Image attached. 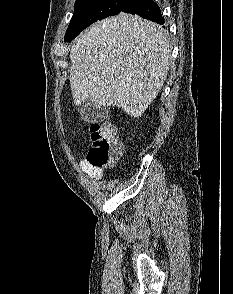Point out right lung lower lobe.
<instances>
[{
	"instance_id": "obj_1",
	"label": "right lung lower lobe",
	"mask_w": 233,
	"mask_h": 294,
	"mask_svg": "<svg viewBox=\"0 0 233 294\" xmlns=\"http://www.w3.org/2000/svg\"><path fill=\"white\" fill-rule=\"evenodd\" d=\"M121 12L131 13L133 15L137 14L158 24H164L161 11L153 0H129ZM71 39L66 41H70Z\"/></svg>"
}]
</instances>
